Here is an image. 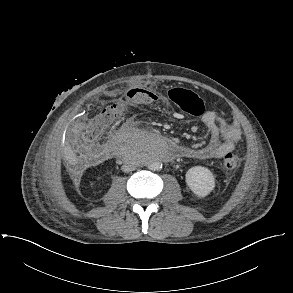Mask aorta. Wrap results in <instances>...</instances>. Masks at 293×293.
Masks as SVG:
<instances>
[{
  "instance_id": "762f6f07",
  "label": "aorta",
  "mask_w": 293,
  "mask_h": 293,
  "mask_svg": "<svg viewBox=\"0 0 293 293\" xmlns=\"http://www.w3.org/2000/svg\"><path fill=\"white\" fill-rule=\"evenodd\" d=\"M168 147V141L164 138H154L152 150L155 153L162 154L164 149ZM148 168L153 171H158L162 168V164L159 161H155L149 164Z\"/></svg>"
}]
</instances>
